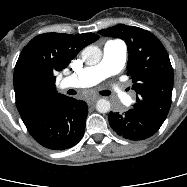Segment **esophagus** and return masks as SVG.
Here are the masks:
<instances>
[{"label":"esophagus","mask_w":187,"mask_h":187,"mask_svg":"<svg viewBox=\"0 0 187 187\" xmlns=\"http://www.w3.org/2000/svg\"><path fill=\"white\" fill-rule=\"evenodd\" d=\"M98 99H99V97L95 96V97L88 98L86 100V102L90 106V105L94 104Z\"/></svg>","instance_id":"obj_1"}]
</instances>
